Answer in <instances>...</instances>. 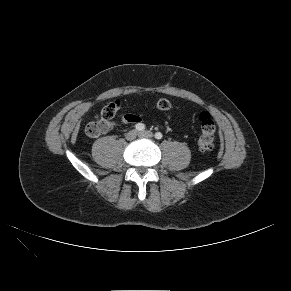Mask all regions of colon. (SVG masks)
I'll return each instance as SVG.
<instances>
[{"instance_id":"5ec220e1","label":"colon","mask_w":291,"mask_h":291,"mask_svg":"<svg viewBox=\"0 0 291 291\" xmlns=\"http://www.w3.org/2000/svg\"><path fill=\"white\" fill-rule=\"evenodd\" d=\"M157 108L161 111H166L171 107V103L166 98H161L157 101ZM123 107V102L119 99H114L112 103L106 104L100 111L99 117L88 123L85 127V133L90 137H97L105 133L111 127V119L114 117L117 109ZM200 135L198 139V148L202 152H210L215 147V123L207 112H202L199 115Z\"/></svg>"}]
</instances>
